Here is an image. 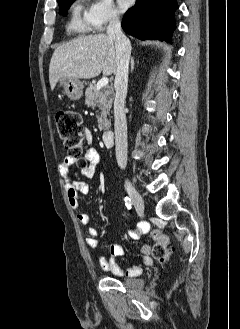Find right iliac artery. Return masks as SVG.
<instances>
[{
    "mask_svg": "<svg viewBox=\"0 0 240 329\" xmlns=\"http://www.w3.org/2000/svg\"><path fill=\"white\" fill-rule=\"evenodd\" d=\"M124 201H125V205H126V207H127L128 209H131V205H132V203H131V199H130L129 197H125Z\"/></svg>",
    "mask_w": 240,
    "mask_h": 329,
    "instance_id": "1",
    "label": "right iliac artery"
}]
</instances>
